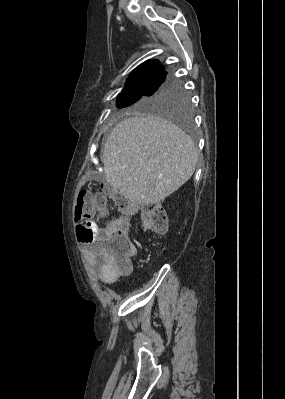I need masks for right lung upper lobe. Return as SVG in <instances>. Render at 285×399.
<instances>
[{
  "label": "right lung upper lobe",
  "mask_w": 285,
  "mask_h": 399,
  "mask_svg": "<svg viewBox=\"0 0 285 399\" xmlns=\"http://www.w3.org/2000/svg\"><path fill=\"white\" fill-rule=\"evenodd\" d=\"M166 75L167 72L161 67L159 61L148 60L130 74L120 94L137 93L160 87L164 83Z\"/></svg>",
  "instance_id": "obj_1"
}]
</instances>
